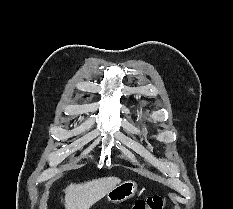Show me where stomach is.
I'll use <instances>...</instances> for the list:
<instances>
[{"instance_id":"0dacf381","label":"stomach","mask_w":233,"mask_h":209,"mask_svg":"<svg viewBox=\"0 0 233 209\" xmlns=\"http://www.w3.org/2000/svg\"><path fill=\"white\" fill-rule=\"evenodd\" d=\"M138 191V185L133 180L119 183L106 194V199L112 203H121L133 197Z\"/></svg>"}]
</instances>
